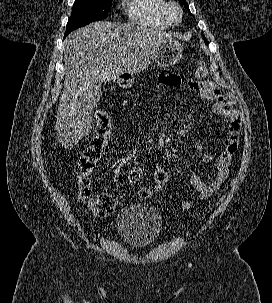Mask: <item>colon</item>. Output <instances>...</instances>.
I'll list each match as a JSON object with an SVG mask.
<instances>
[{
	"label": "colon",
	"mask_w": 272,
	"mask_h": 303,
	"mask_svg": "<svg viewBox=\"0 0 272 303\" xmlns=\"http://www.w3.org/2000/svg\"><path fill=\"white\" fill-rule=\"evenodd\" d=\"M195 76L197 79H203L207 76V68L204 63H200L195 72ZM96 122L95 135L76 166L77 195L78 198L86 204L93 216L106 217L116 210L118 199L110 194L93 195L89 176L108 145L111 124L108 116L104 113L97 115ZM167 182L168 174L166 170L162 166L156 165L154 168V186L141 187L138 191L139 197L142 199L150 198L154 193L160 192L166 186ZM222 199L223 197L217 198L210 207L218 204Z\"/></svg>",
	"instance_id": "obj_1"
}]
</instances>
